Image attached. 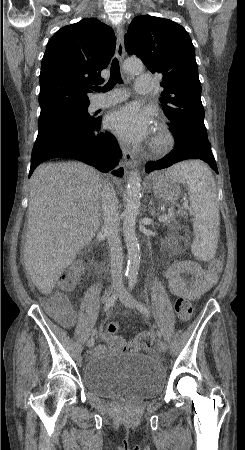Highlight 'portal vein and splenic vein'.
Masks as SVG:
<instances>
[{
  "mask_svg": "<svg viewBox=\"0 0 245 450\" xmlns=\"http://www.w3.org/2000/svg\"><path fill=\"white\" fill-rule=\"evenodd\" d=\"M184 208H185V209H189V206H188V202H187V201L184 202ZM173 215H174V212H173V211H170V212H168V214H165V215L160 216V217H159V220H160V221H165V220H167L168 218L172 217Z\"/></svg>",
  "mask_w": 245,
  "mask_h": 450,
  "instance_id": "obj_1",
  "label": "portal vein and splenic vein"
}]
</instances>
